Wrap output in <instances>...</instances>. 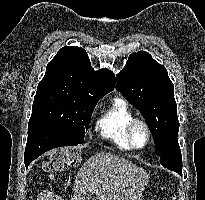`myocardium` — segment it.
<instances>
[{"instance_id":"1","label":"myocardium","mask_w":205,"mask_h":200,"mask_svg":"<svg viewBox=\"0 0 205 200\" xmlns=\"http://www.w3.org/2000/svg\"><path fill=\"white\" fill-rule=\"evenodd\" d=\"M137 126H142L145 129L146 134H147L146 144L142 147L137 146L135 144L134 138H133L134 130ZM126 137H127L128 143L130 144L132 149L141 150V149L146 148L150 144V142L152 140V133H151V129H150L148 123L145 120L135 118L128 124V126L126 128Z\"/></svg>"}]
</instances>
